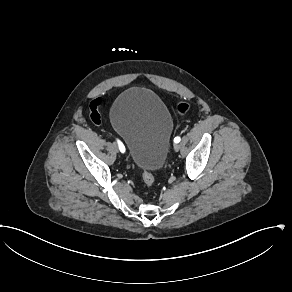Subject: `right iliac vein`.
<instances>
[{"label":"right iliac vein","instance_id":"63e3f726","mask_svg":"<svg viewBox=\"0 0 292 292\" xmlns=\"http://www.w3.org/2000/svg\"><path fill=\"white\" fill-rule=\"evenodd\" d=\"M112 147H113V149H114L115 151H118V146H117L116 143H113Z\"/></svg>","mask_w":292,"mask_h":292}]
</instances>
